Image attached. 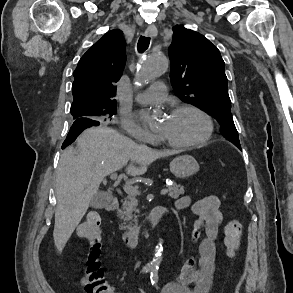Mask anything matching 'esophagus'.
<instances>
[{
    "instance_id": "obj_1",
    "label": "esophagus",
    "mask_w": 293,
    "mask_h": 293,
    "mask_svg": "<svg viewBox=\"0 0 293 293\" xmlns=\"http://www.w3.org/2000/svg\"><path fill=\"white\" fill-rule=\"evenodd\" d=\"M157 33H158L157 28L154 25H152V26H149L145 30L144 35L145 36H150V37H156Z\"/></svg>"
}]
</instances>
